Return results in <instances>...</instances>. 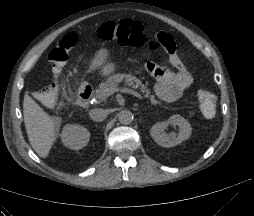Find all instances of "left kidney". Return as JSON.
Listing matches in <instances>:
<instances>
[{"mask_svg":"<svg viewBox=\"0 0 254 216\" xmlns=\"http://www.w3.org/2000/svg\"><path fill=\"white\" fill-rule=\"evenodd\" d=\"M169 125L178 126L179 132L167 134L165 130ZM192 133L191 125L180 115H173L167 121L158 122L150 129L151 137L162 147H174L187 140Z\"/></svg>","mask_w":254,"mask_h":216,"instance_id":"obj_1","label":"left kidney"}]
</instances>
